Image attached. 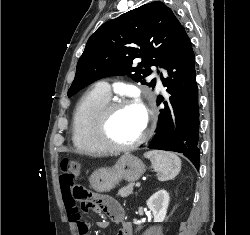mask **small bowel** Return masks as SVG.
<instances>
[{
    "mask_svg": "<svg viewBox=\"0 0 250 235\" xmlns=\"http://www.w3.org/2000/svg\"><path fill=\"white\" fill-rule=\"evenodd\" d=\"M61 194L68 218L76 224L79 235H87L89 225L79 213L78 204L73 197L71 188L62 185ZM96 203L99 210L105 212L113 221L121 223L117 235H133L132 227L124 220L123 209L116 200L102 197ZM99 226L104 227L105 222H99Z\"/></svg>",
    "mask_w": 250,
    "mask_h": 235,
    "instance_id": "1",
    "label": "small bowel"
}]
</instances>
